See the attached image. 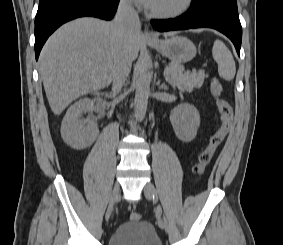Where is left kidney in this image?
Wrapping results in <instances>:
<instances>
[{"instance_id":"left-kidney-1","label":"left kidney","mask_w":283,"mask_h":245,"mask_svg":"<svg viewBox=\"0 0 283 245\" xmlns=\"http://www.w3.org/2000/svg\"><path fill=\"white\" fill-rule=\"evenodd\" d=\"M170 121L176 136L183 142H191L200 125V115L190 104H181L170 113Z\"/></svg>"}]
</instances>
